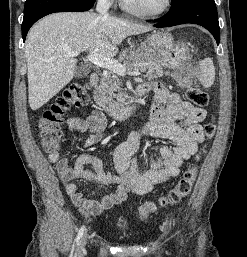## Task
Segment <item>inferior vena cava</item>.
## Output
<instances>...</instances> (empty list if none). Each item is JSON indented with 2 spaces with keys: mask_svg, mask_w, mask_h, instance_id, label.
Instances as JSON below:
<instances>
[{
  "mask_svg": "<svg viewBox=\"0 0 247 257\" xmlns=\"http://www.w3.org/2000/svg\"><path fill=\"white\" fill-rule=\"evenodd\" d=\"M109 3L108 0H98L96 11L100 13V15H108Z\"/></svg>",
  "mask_w": 247,
  "mask_h": 257,
  "instance_id": "1",
  "label": "inferior vena cava"
}]
</instances>
